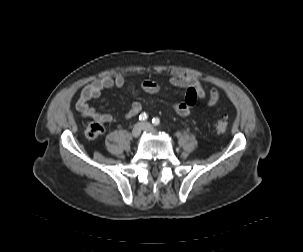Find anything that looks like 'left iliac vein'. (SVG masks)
I'll return each mask as SVG.
<instances>
[{"label": "left iliac vein", "instance_id": "left-iliac-vein-1", "mask_svg": "<svg viewBox=\"0 0 303 252\" xmlns=\"http://www.w3.org/2000/svg\"><path fill=\"white\" fill-rule=\"evenodd\" d=\"M142 129L144 131H148V132H155L156 129L148 122H143L142 124Z\"/></svg>", "mask_w": 303, "mask_h": 252}]
</instances>
